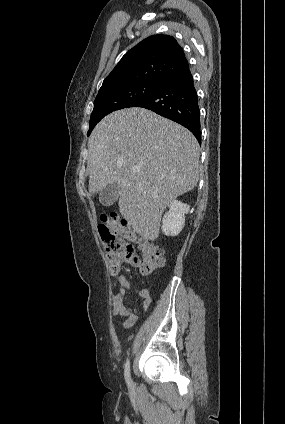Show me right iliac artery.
<instances>
[{"instance_id": "82829eb1", "label": "right iliac artery", "mask_w": 285, "mask_h": 424, "mask_svg": "<svg viewBox=\"0 0 285 424\" xmlns=\"http://www.w3.org/2000/svg\"><path fill=\"white\" fill-rule=\"evenodd\" d=\"M124 376H125V380L128 384V386H131V378H130V361L127 360V362L125 363V370H124Z\"/></svg>"}]
</instances>
